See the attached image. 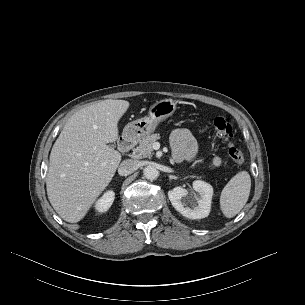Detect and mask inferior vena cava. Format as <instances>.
<instances>
[{"label":"inferior vena cava","instance_id":"obj_1","mask_svg":"<svg viewBox=\"0 0 305 305\" xmlns=\"http://www.w3.org/2000/svg\"><path fill=\"white\" fill-rule=\"evenodd\" d=\"M138 168V163L136 160L127 159L124 160L118 168V174L120 176H128Z\"/></svg>","mask_w":305,"mask_h":305}]
</instances>
